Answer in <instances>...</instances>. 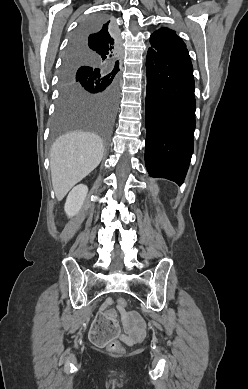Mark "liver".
<instances>
[{
    "mask_svg": "<svg viewBox=\"0 0 248 389\" xmlns=\"http://www.w3.org/2000/svg\"><path fill=\"white\" fill-rule=\"evenodd\" d=\"M103 154L102 139L91 132H69L54 142L50 151V169L58 201L100 164Z\"/></svg>",
    "mask_w": 248,
    "mask_h": 389,
    "instance_id": "6515ba94",
    "label": "liver"
}]
</instances>
